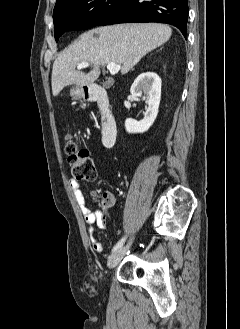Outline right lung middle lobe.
<instances>
[{
  "label": "right lung middle lobe",
  "instance_id": "dd1d6c3e",
  "mask_svg": "<svg viewBox=\"0 0 240 329\" xmlns=\"http://www.w3.org/2000/svg\"><path fill=\"white\" fill-rule=\"evenodd\" d=\"M126 0H69L54 9V36L67 30H81L100 25Z\"/></svg>",
  "mask_w": 240,
  "mask_h": 329
}]
</instances>
